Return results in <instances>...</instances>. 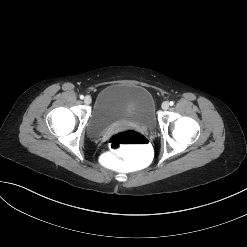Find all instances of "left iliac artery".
<instances>
[{"instance_id": "obj_1", "label": "left iliac artery", "mask_w": 247, "mask_h": 247, "mask_svg": "<svg viewBox=\"0 0 247 247\" xmlns=\"http://www.w3.org/2000/svg\"><path fill=\"white\" fill-rule=\"evenodd\" d=\"M169 105H170V106H173V105H174V102H173V101H170V102H169Z\"/></svg>"}]
</instances>
